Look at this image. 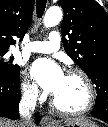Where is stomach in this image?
Listing matches in <instances>:
<instances>
[{
  "label": "stomach",
  "mask_w": 108,
  "mask_h": 127,
  "mask_svg": "<svg viewBox=\"0 0 108 127\" xmlns=\"http://www.w3.org/2000/svg\"><path fill=\"white\" fill-rule=\"evenodd\" d=\"M46 127H98L96 124H80L77 122H66L61 124L60 122H54L52 125H47Z\"/></svg>",
  "instance_id": "stomach-1"
}]
</instances>
